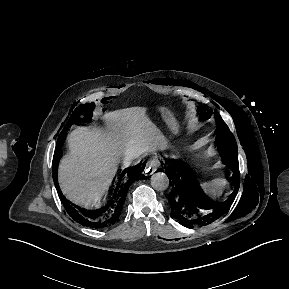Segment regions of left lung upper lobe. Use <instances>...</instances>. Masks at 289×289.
<instances>
[{
    "label": "left lung upper lobe",
    "instance_id": "obj_1",
    "mask_svg": "<svg viewBox=\"0 0 289 289\" xmlns=\"http://www.w3.org/2000/svg\"><path fill=\"white\" fill-rule=\"evenodd\" d=\"M198 113L200 114V119H209L213 115V111L207 106H199ZM214 114L217 122L214 134L218 149L223 151V162L230 165L237 164L238 166V153L232 133L219 114L217 112H214Z\"/></svg>",
    "mask_w": 289,
    "mask_h": 289
}]
</instances>
